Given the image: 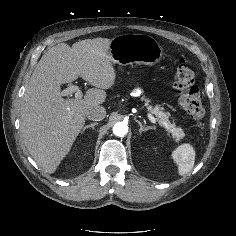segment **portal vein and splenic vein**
I'll use <instances>...</instances> for the list:
<instances>
[{"label":"portal vein and splenic vein","mask_w":236,"mask_h":236,"mask_svg":"<svg viewBox=\"0 0 236 236\" xmlns=\"http://www.w3.org/2000/svg\"><path fill=\"white\" fill-rule=\"evenodd\" d=\"M73 93L75 94L76 99H81L83 96L80 87H78L76 85H72V86L66 88L65 90H63L64 96H69V95H72ZM148 118L153 124L157 123L156 118H154V116H152L151 114H148Z\"/></svg>","instance_id":"18ae733b"}]
</instances>
